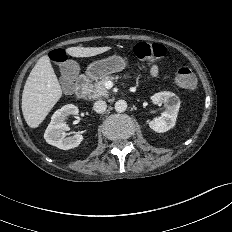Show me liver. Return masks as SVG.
Segmentation results:
<instances>
[{"label":"liver","mask_w":232,"mask_h":232,"mask_svg":"<svg viewBox=\"0 0 232 232\" xmlns=\"http://www.w3.org/2000/svg\"><path fill=\"white\" fill-rule=\"evenodd\" d=\"M105 47H70L72 57H92L110 50ZM62 96L61 86L47 55L42 56L28 76L22 94V112L29 127L36 128Z\"/></svg>","instance_id":"1"}]
</instances>
